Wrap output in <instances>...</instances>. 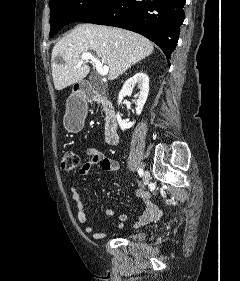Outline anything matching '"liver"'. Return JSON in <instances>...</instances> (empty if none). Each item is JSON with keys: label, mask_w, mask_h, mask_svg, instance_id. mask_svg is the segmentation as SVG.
Instances as JSON below:
<instances>
[{"label": "liver", "mask_w": 240, "mask_h": 281, "mask_svg": "<svg viewBox=\"0 0 240 281\" xmlns=\"http://www.w3.org/2000/svg\"><path fill=\"white\" fill-rule=\"evenodd\" d=\"M153 43L140 34L102 25L80 24L60 39L51 56L55 89L60 91L82 81L90 67H76L83 53L93 52L109 67V80H115L132 65L151 55ZM62 60H58L57 57Z\"/></svg>", "instance_id": "liver-1"}]
</instances>
